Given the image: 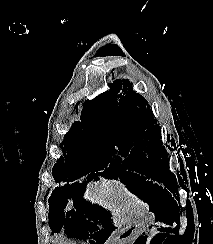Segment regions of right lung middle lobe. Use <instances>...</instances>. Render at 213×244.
<instances>
[{"label": "right lung middle lobe", "instance_id": "dd1d6c3e", "mask_svg": "<svg viewBox=\"0 0 213 244\" xmlns=\"http://www.w3.org/2000/svg\"><path fill=\"white\" fill-rule=\"evenodd\" d=\"M80 120L74 122L64 136L61 146L64 157L58 159L53 167L56 180L73 181L94 168L118 170L121 166L122 159L116 154L124 153L125 148L111 142L108 116L82 112Z\"/></svg>", "mask_w": 213, "mask_h": 244}]
</instances>
